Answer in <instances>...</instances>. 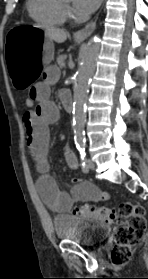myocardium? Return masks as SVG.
Instances as JSON below:
<instances>
[{"label": "myocardium", "mask_w": 148, "mask_h": 279, "mask_svg": "<svg viewBox=\"0 0 148 279\" xmlns=\"http://www.w3.org/2000/svg\"><path fill=\"white\" fill-rule=\"evenodd\" d=\"M59 1H60L61 6H62L65 10H67V9L70 8V5L67 4V3H65L63 0H59Z\"/></svg>", "instance_id": "1"}]
</instances>
